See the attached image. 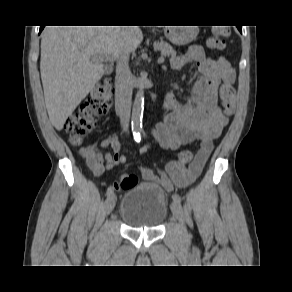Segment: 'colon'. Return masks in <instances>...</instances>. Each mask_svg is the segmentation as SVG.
Instances as JSON below:
<instances>
[{
	"label": "colon",
	"mask_w": 292,
	"mask_h": 292,
	"mask_svg": "<svg viewBox=\"0 0 292 292\" xmlns=\"http://www.w3.org/2000/svg\"><path fill=\"white\" fill-rule=\"evenodd\" d=\"M230 33L228 25H217L213 28L207 40V46L215 53H220L225 46L224 38ZM224 114L231 116L236 108V94L231 84H222L219 89ZM113 102V86L109 80L95 86L90 97L81 106L80 110L69 117L65 123L69 141L74 146H80L97 124V121L107 115ZM90 149L83 153L87 156ZM196 154L191 150H183L176 160L181 165H187L195 160ZM138 178L134 174H125L121 177L119 186L127 190L136 186Z\"/></svg>",
	"instance_id": "1"
}]
</instances>
